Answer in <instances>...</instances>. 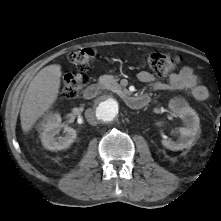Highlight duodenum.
<instances>
[{
	"mask_svg": "<svg viewBox=\"0 0 221 221\" xmlns=\"http://www.w3.org/2000/svg\"><path fill=\"white\" fill-rule=\"evenodd\" d=\"M100 90H101V87L99 84L97 83L91 84L86 88L84 92V96L86 99L91 100L99 94ZM125 101L129 107L133 109H139V108L146 106L150 102V97L146 95L127 96L125 98Z\"/></svg>",
	"mask_w": 221,
	"mask_h": 221,
	"instance_id": "obj_1",
	"label": "duodenum"
}]
</instances>
